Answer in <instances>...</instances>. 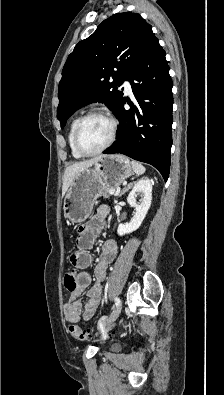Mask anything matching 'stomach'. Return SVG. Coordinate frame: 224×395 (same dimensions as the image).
<instances>
[{
	"label": "stomach",
	"instance_id": "stomach-1",
	"mask_svg": "<svg viewBox=\"0 0 224 395\" xmlns=\"http://www.w3.org/2000/svg\"><path fill=\"white\" fill-rule=\"evenodd\" d=\"M132 174L133 168L124 155L103 156L92 168L74 177L64 198V217L73 224L85 221L96 199L105 190L119 187Z\"/></svg>",
	"mask_w": 224,
	"mask_h": 395
}]
</instances>
